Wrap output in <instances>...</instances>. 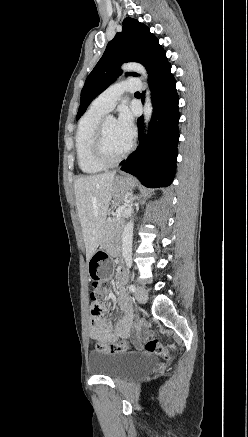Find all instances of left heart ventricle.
<instances>
[{"label":"left heart ventricle","instance_id":"1","mask_svg":"<svg viewBox=\"0 0 248 437\" xmlns=\"http://www.w3.org/2000/svg\"><path fill=\"white\" fill-rule=\"evenodd\" d=\"M129 143L119 134L116 121L107 119L105 123V150L107 155L111 158L118 156L127 148Z\"/></svg>","mask_w":248,"mask_h":437}]
</instances>
